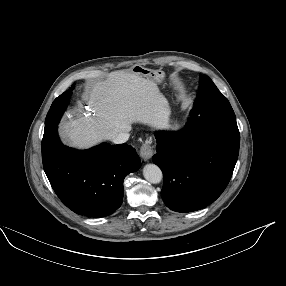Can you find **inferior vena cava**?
<instances>
[{
    "label": "inferior vena cava",
    "mask_w": 286,
    "mask_h": 286,
    "mask_svg": "<svg viewBox=\"0 0 286 286\" xmlns=\"http://www.w3.org/2000/svg\"><path fill=\"white\" fill-rule=\"evenodd\" d=\"M129 139V133L128 132H121L117 134L115 137L112 138V141L115 144H121L125 143Z\"/></svg>",
    "instance_id": "602c4592"
}]
</instances>
